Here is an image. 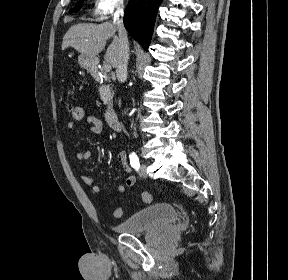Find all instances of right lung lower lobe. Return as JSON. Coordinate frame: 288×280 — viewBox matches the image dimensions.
<instances>
[{
    "label": "right lung lower lobe",
    "mask_w": 288,
    "mask_h": 280,
    "mask_svg": "<svg viewBox=\"0 0 288 280\" xmlns=\"http://www.w3.org/2000/svg\"><path fill=\"white\" fill-rule=\"evenodd\" d=\"M162 0H130L123 19L130 35L148 50L157 10Z\"/></svg>",
    "instance_id": "right-lung-lower-lobe-1"
}]
</instances>
